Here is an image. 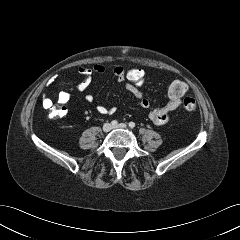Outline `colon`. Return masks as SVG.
Listing matches in <instances>:
<instances>
[{"instance_id":"5ec220e1","label":"colon","mask_w":240,"mask_h":240,"mask_svg":"<svg viewBox=\"0 0 240 240\" xmlns=\"http://www.w3.org/2000/svg\"><path fill=\"white\" fill-rule=\"evenodd\" d=\"M126 80L134 87L141 89L146 83V72L139 66H129L125 68ZM188 91V86L184 81L174 80L168 85V96L169 98H180L183 99V108L188 112H193L197 108V103L192 97H185ZM53 108L51 115L53 117H60L64 115L65 109L61 106L62 104Z\"/></svg>"}]
</instances>
